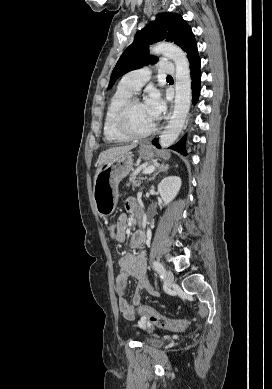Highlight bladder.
<instances>
[{
	"label": "bladder",
	"instance_id": "obj_1",
	"mask_svg": "<svg viewBox=\"0 0 272 389\" xmlns=\"http://www.w3.org/2000/svg\"><path fill=\"white\" fill-rule=\"evenodd\" d=\"M147 344L154 347H159L163 345V340L158 338H150L147 341Z\"/></svg>",
	"mask_w": 272,
	"mask_h": 389
}]
</instances>
